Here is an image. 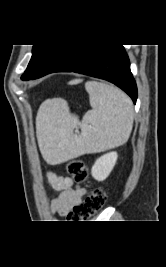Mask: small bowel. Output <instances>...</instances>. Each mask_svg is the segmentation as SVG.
Returning a JSON list of instances; mask_svg holds the SVG:
<instances>
[{
    "mask_svg": "<svg viewBox=\"0 0 166 267\" xmlns=\"http://www.w3.org/2000/svg\"><path fill=\"white\" fill-rule=\"evenodd\" d=\"M46 177L50 185L59 192L51 202L54 212L64 215L81 202L85 190L80 186H74L71 178L57 175L52 171H48Z\"/></svg>",
    "mask_w": 166,
    "mask_h": 267,
    "instance_id": "1",
    "label": "small bowel"
}]
</instances>
